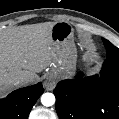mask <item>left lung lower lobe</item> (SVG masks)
<instances>
[{
    "instance_id": "left-lung-lower-lobe-1",
    "label": "left lung lower lobe",
    "mask_w": 119,
    "mask_h": 119,
    "mask_svg": "<svg viewBox=\"0 0 119 119\" xmlns=\"http://www.w3.org/2000/svg\"><path fill=\"white\" fill-rule=\"evenodd\" d=\"M103 42L107 59L100 79L63 80L54 89L60 119H119V48Z\"/></svg>"
}]
</instances>
